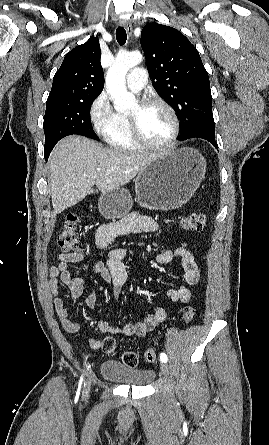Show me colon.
Here are the masks:
<instances>
[{
	"mask_svg": "<svg viewBox=\"0 0 269 445\" xmlns=\"http://www.w3.org/2000/svg\"><path fill=\"white\" fill-rule=\"evenodd\" d=\"M207 227V220L202 213H191L183 217L180 221V228L185 231H202ZM57 243L63 253L78 254L84 252L80 243L79 236V217L76 214H69L63 224L61 232L58 235ZM195 317V308L186 305L183 309L184 323H190ZM102 351L108 355H114L117 352V344L113 337L106 336L102 340ZM156 352L153 349H147L144 353V359L148 363L156 360ZM124 365L134 368L139 363V357L134 351H126L122 355Z\"/></svg>",
	"mask_w": 269,
	"mask_h": 445,
	"instance_id": "5ec220e1",
	"label": "colon"
}]
</instances>
